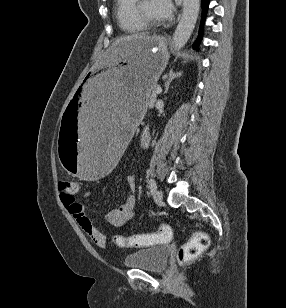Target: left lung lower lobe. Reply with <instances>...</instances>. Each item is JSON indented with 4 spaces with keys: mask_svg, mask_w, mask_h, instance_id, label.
Listing matches in <instances>:
<instances>
[{
    "mask_svg": "<svg viewBox=\"0 0 286 308\" xmlns=\"http://www.w3.org/2000/svg\"><path fill=\"white\" fill-rule=\"evenodd\" d=\"M201 1H202V8H203V13H202V22H203L204 19H205L206 10L208 8L209 0H201ZM196 47H197V43H195L193 45V48H196Z\"/></svg>",
    "mask_w": 286,
    "mask_h": 308,
    "instance_id": "1",
    "label": "left lung lower lobe"
}]
</instances>
